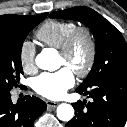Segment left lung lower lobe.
Masks as SVG:
<instances>
[{"instance_id": "obj_1", "label": "left lung lower lobe", "mask_w": 127, "mask_h": 127, "mask_svg": "<svg viewBox=\"0 0 127 127\" xmlns=\"http://www.w3.org/2000/svg\"><path fill=\"white\" fill-rule=\"evenodd\" d=\"M78 93L89 95L92 102L77 101L75 116L66 127H124L127 120V79L103 78Z\"/></svg>"}]
</instances>
